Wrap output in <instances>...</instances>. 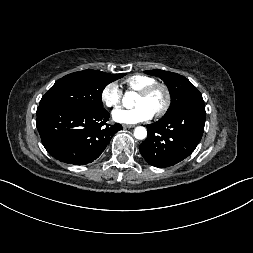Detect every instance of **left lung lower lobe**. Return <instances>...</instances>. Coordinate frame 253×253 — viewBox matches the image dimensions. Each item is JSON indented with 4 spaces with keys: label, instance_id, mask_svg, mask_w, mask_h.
<instances>
[{
    "label": "left lung lower lobe",
    "instance_id": "1",
    "mask_svg": "<svg viewBox=\"0 0 253 253\" xmlns=\"http://www.w3.org/2000/svg\"><path fill=\"white\" fill-rule=\"evenodd\" d=\"M205 106L201 93L193 95L168 117L146 125L148 136L140 145L143 158L155 167H170L188 157L202 138Z\"/></svg>",
    "mask_w": 253,
    "mask_h": 253
}]
</instances>
